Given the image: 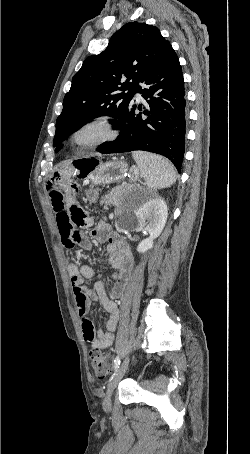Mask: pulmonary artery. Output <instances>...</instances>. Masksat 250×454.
Returning a JSON list of instances; mask_svg holds the SVG:
<instances>
[{
    "mask_svg": "<svg viewBox=\"0 0 250 454\" xmlns=\"http://www.w3.org/2000/svg\"><path fill=\"white\" fill-rule=\"evenodd\" d=\"M136 97H137L138 99H140V98H141V95H140L139 93H137V94H136Z\"/></svg>",
    "mask_w": 250,
    "mask_h": 454,
    "instance_id": "1",
    "label": "pulmonary artery"
}]
</instances>
